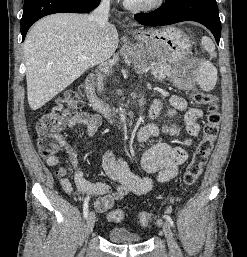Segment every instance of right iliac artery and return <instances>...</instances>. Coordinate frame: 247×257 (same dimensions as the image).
<instances>
[{
	"instance_id": "right-iliac-artery-1",
	"label": "right iliac artery",
	"mask_w": 247,
	"mask_h": 257,
	"mask_svg": "<svg viewBox=\"0 0 247 257\" xmlns=\"http://www.w3.org/2000/svg\"><path fill=\"white\" fill-rule=\"evenodd\" d=\"M88 201H89V197H86L85 200H84V204H83V215H84V218H87L88 216Z\"/></svg>"
}]
</instances>
